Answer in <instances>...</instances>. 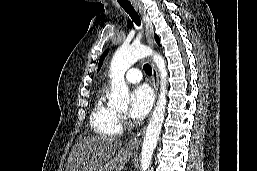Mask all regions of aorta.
Returning <instances> with one entry per match:
<instances>
[{
  "mask_svg": "<svg viewBox=\"0 0 257 171\" xmlns=\"http://www.w3.org/2000/svg\"><path fill=\"white\" fill-rule=\"evenodd\" d=\"M150 55L153 56V61L160 73L161 87L157 104L152 113L142 143L141 171H146L149 168L165 118L168 75L166 63L162 56L153 53L149 47L142 44H133L129 47H120L117 49L110 65L111 97L109 102L116 108L127 107L129 104V93L124 79L125 72L139 59Z\"/></svg>",
  "mask_w": 257,
  "mask_h": 171,
  "instance_id": "762f6f07",
  "label": "aorta"
}]
</instances>
